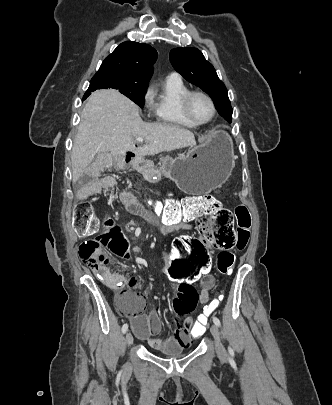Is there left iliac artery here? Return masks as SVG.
Wrapping results in <instances>:
<instances>
[{"instance_id":"44dca946","label":"left iliac artery","mask_w":332,"mask_h":405,"mask_svg":"<svg viewBox=\"0 0 332 405\" xmlns=\"http://www.w3.org/2000/svg\"><path fill=\"white\" fill-rule=\"evenodd\" d=\"M213 323H214L215 325H217V326H220V325H221L220 320H219L217 317H213Z\"/></svg>"}]
</instances>
